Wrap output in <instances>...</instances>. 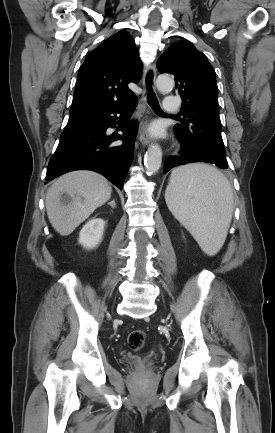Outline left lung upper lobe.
Returning a JSON list of instances; mask_svg holds the SVG:
<instances>
[{"label": "left lung upper lobe", "mask_w": 275, "mask_h": 433, "mask_svg": "<svg viewBox=\"0 0 275 433\" xmlns=\"http://www.w3.org/2000/svg\"><path fill=\"white\" fill-rule=\"evenodd\" d=\"M158 70L171 73L183 100L182 124L174 127L184 152L196 162L228 168L221 137L217 84L213 67L189 41L172 44L158 59Z\"/></svg>", "instance_id": "obj_1"}]
</instances>
